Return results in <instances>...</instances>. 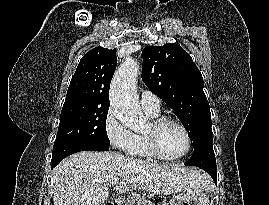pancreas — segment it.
<instances>
[{"label": "pancreas", "instance_id": "pancreas-1", "mask_svg": "<svg viewBox=\"0 0 269 205\" xmlns=\"http://www.w3.org/2000/svg\"><path fill=\"white\" fill-rule=\"evenodd\" d=\"M140 194L136 192H132L127 198L123 199L124 205H135V203L139 200ZM120 205V204H119Z\"/></svg>", "mask_w": 269, "mask_h": 205}]
</instances>
